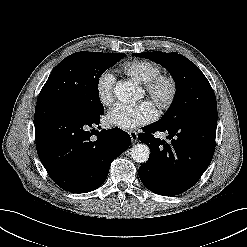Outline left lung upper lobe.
<instances>
[{
    "label": "left lung upper lobe",
    "mask_w": 247,
    "mask_h": 247,
    "mask_svg": "<svg viewBox=\"0 0 247 247\" xmlns=\"http://www.w3.org/2000/svg\"><path fill=\"white\" fill-rule=\"evenodd\" d=\"M134 55L160 63L170 71L176 82L174 102L159 122L173 124L195 118L217 119L214 91L205 75L189 59L177 53L160 51Z\"/></svg>",
    "instance_id": "obj_1"
}]
</instances>
